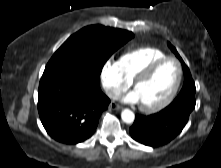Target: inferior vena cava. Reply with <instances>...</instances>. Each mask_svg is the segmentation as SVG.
Returning <instances> with one entry per match:
<instances>
[{
	"label": "inferior vena cava",
	"instance_id": "1",
	"mask_svg": "<svg viewBox=\"0 0 221 168\" xmlns=\"http://www.w3.org/2000/svg\"><path fill=\"white\" fill-rule=\"evenodd\" d=\"M106 94L112 99H117L120 96V93L114 89L106 90Z\"/></svg>",
	"mask_w": 221,
	"mask_h": 168
}]
</instances>
